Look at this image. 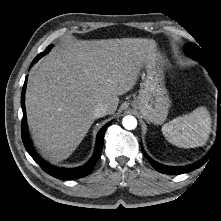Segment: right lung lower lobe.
I'll return each instance as SVG.
<instances>
[{"label": "right lung lower lobe", "mask_w": 221, "mask_h": 221, "mask_svg": "<svg viewBox=\"0 0 221 221\" xmlns=\"http://www.w3.org/2000/svg\"><path fill=\"white\" fill-rule=\"evenodd\" d=\"M43 55H45L44 52L37 55L35 57V59L33 60L31 66L38 59H40ZM26 81H27V78L25 79V83H24V86L22 89V95H21V106H22V110H23L21 133H22V140H23V143H24V146H25L27 152L30 154V156L35 160V162L46 173H48L49 175H51L57 179H77V178H81V177H84V176L90 174V172L93 170V168H94V166L100 156V153L102 151L104 134H105L107 127L110 125V123H108L106 126H104L100 130V132L98 133L97 143H96L94 154H93L91 160L87 164H85L81 167H77V168H59V167L52 166L39 157V155L33 149L32 145L30 143V140L28 138V130H27V123H26V115H25V105H24V92H25V88H26Z\"/></svg>", "instance_id": "1"}]
</instances>
